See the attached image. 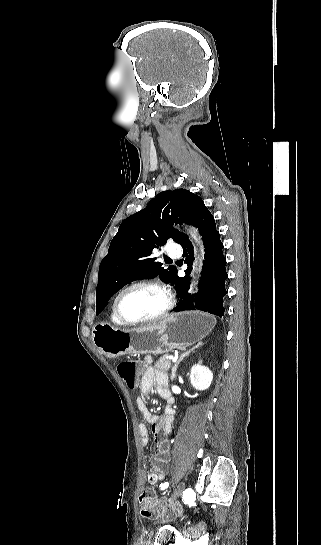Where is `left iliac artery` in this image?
<instances>
[{
  "mask_svg": "<svg viewBox=\"0 0 321 545\" xmlns=\"http://www.w3.org/2000/svg\"><path fill=\"white\" fill-rule=\"evenodd\" d=\"M168 486H169V483L165 482V483L160 485V488H161V490H164V489L168 488Z\"/></svg>",
  "mask_w": 321,
  "mask_h": 545,
  "instance_id": "1",
  "label": "left iliac artery"
}]
</instances>
